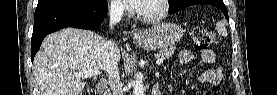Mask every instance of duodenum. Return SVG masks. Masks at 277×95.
<instances>
[{
  "label": "duodenum",
  "instance_id": "obj_1",
  "mask_svg": "<svg viewBox=\"0 0 277 95\" xmlns=\"http://www.w3.org/2000/svg\"><path fill=\"white\" fill-rule=\"evenodd\" d=\"M108 92H109V89H108V85L106 83H101V84H99L97 86V94L108 95ZM151 94H153V95H160L158 83H154L152 85Z\"/></svg>",
  "mask_w": 277,
  "mask_h": 95
}]
</instances>
